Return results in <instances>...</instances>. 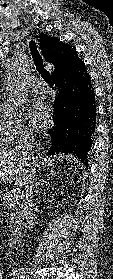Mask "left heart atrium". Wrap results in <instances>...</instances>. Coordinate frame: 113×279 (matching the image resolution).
<instances>
[{
  "label": "left heart atrium",
  "instance_id": "left-heart-atrium-1",
  "mask_svg": "<svg viewBox=\"0 0 113 279\" xmlns=\"http://www.w3.org/2000/svg\"><path fill=\"white\" fill-rule=\"evenodd\" d=\"M30 116L38 126H44L50 120V108L42 99L34 102L30 109Z\"/></svg>",
  "mask_w": 113,
  "mask_h": 279
}]
</instances>
